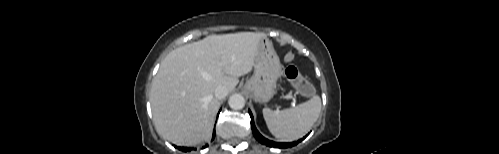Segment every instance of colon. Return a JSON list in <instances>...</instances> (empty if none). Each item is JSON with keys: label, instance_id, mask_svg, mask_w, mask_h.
<instances>
[{"label": "colon", "instance_id": "1", "mask_svg": "<svg viewBox=\"0 0 499 154\" xmlns=\"http://www.w3.org/2000/svg\"><path fill=\"white\" fill-rule=\"evenodd\" d=\"M285 75L290 80L298 91L304 96H310L314 93L312 84L302 76L300 71L295 66H289L285 70Z\"/></svg>", "mask_w": 499, "mask_h": 154}]
</instances>
